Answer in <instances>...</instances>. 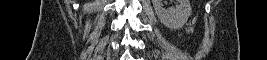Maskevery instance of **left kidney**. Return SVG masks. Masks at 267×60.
I'll return each mask as SVG.
<instances>
[{
    "instance_id": "1",
    "label": "left kidney",
    "mask_w": 267,
    "mask_h": 60,
    "mask_svg": "<svg viewBox=\"0 0 267 60\" xmlns=\"http://www.w3.org/2000/svg\"><path fill=\"white\" fill-rule=\"evenodd\" d=\"M163 0H152L155 13L160 22L169 29H180L191 14L189 0H176L175 7L165 9Z\"/></svg>"
}]
</instances>
